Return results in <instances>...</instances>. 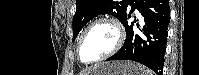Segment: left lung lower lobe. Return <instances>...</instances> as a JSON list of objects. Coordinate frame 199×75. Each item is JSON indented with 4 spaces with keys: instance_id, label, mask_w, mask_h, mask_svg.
<instances>
[{
    "instance_id": "0a47b994",
    "label": "left lung lower lobe",
    "mask_w": 199,
    "mask_h": 75,
    "mask_svg": "<svg viewBox=\"0 0 199 75\" xmlns=\"http://www.w3.org/2000/svg\"><path fill=\"white\" fill-rule=\"evenodd\" d=\"M131 12H127L122 24L126 30V40L122 48L110 60H133L162 75L164 53L170 22L168 0H131ZM137 9L140 20L128 24L131 13ZM135 24V25H134Z\"/></svg>"
}]
</instances>
